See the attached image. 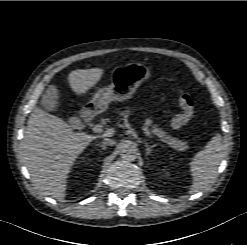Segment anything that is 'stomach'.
I'll list each match as a JSON object with an SVG mask.
<instances>
[{"label": "stomach", "mask_w": 247, "mask_h": 245, "mask_svg": "<svg viewBox=\"0 0 247 245\" xmlns=\"http://www.w3.org/2000/svg\"><path fill=\"white\" fill-rule=\"evenodd\" d=\"M151 76V70L143 63L118 66L112 71L111 84L97 91L89 105L95 110L104 111L112 101L129 99L141 83Z\"/></svg>", "instance_id": "1"}]
</instances>
